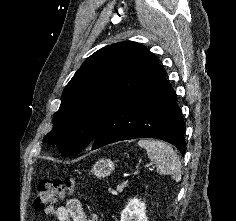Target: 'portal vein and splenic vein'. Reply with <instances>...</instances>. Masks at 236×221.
Returning <instances> with one entry per match:
<instances>
[{"mask_svg":"<svg viewBox=\"0 0 236 221\" xmlns=\"http://www.w3.org/2000/svg\"><path fill=\"white\" fill-rule=\"evenodd\" d=\"M134 174L135 175L139 174V171L138 170L135 171ZM126 185H127V182H123L121 187H125Z\"/></svg>","mask_w":236,"mask_h":221,"instance_id":"portal-vein-and-splenic-vein-1","label":"portal vein and splenic vein"}]
</instances>
